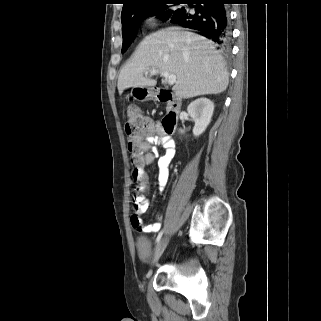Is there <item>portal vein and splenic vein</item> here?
<instances>
[{
  "label": "portal vein and splenic vein",
  "instance_id": "18ae733b",
  "mask_svg": "<svg viewBox=\"0 0 321 321\" xmlns=\"http://www.w3.org/2000/svg\"><path fill=\"white\" fill-rule=\"evenodd\" d=\"M148 73L150 75H155V74L159 73V71L158 70H151ZM160 74L168 81L169 84L172 85L176 82V76L174 74H170L168 72H162V71H160Z\"/></svg>",
  "mask_w": 321,
  "mask_h": 321
}]
</instances>
